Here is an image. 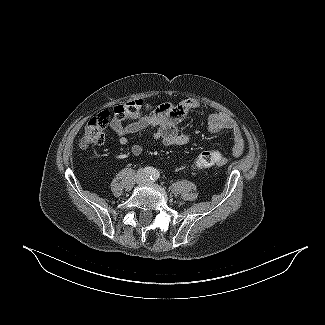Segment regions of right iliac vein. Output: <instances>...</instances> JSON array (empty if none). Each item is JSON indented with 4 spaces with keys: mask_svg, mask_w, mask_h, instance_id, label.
<instances>
[{
    "mask_svg": "<svg viewBox=\"0 0 325 325\" xmlns=\"http://www.w3.org/2000/svg\"><path fill=\"white\" fill-rule=\"evenodd\" d=\"M137 182L142 183L143 182V171H139L137 175Z\"/></svg>",
    "mask_w": 325,
    "mask_h": 325,
    "instance_id": "right-iliac-vein-1",
    "label": "right iliac vein"
}]
</instances>
